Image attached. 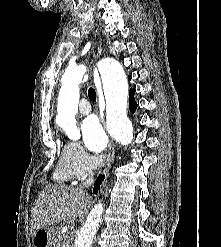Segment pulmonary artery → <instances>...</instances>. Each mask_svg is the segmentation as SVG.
I'll use <instances>...</instances> for the list:
<instances>
[{"label":"pulmonary artery","mask_w":221,"mask_h":247,"mask_svg":"<svg viewBox=\"0 0 221 247\" xmlns=\"http://www.w3.org/2000/svg\"><path fill=\"white\" fill-rule=\"evenodd\" d=\"M91 106L87 99H81L79 102V112L83 115L90 113Z\"/></svg>","instance_id":"obj_1"}]
</instances>
